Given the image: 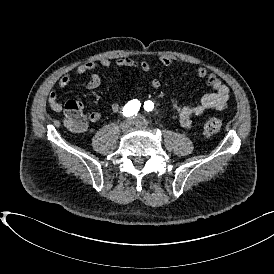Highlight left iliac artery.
Returning a JSON list of instances; mask_svg holds the SVG:
<instances>
[{"label":"left iliac artery","mask_w":274,"mask_h":274,"mask_svg":"<svg viewBox=\"0 0 274 274\" xmlns=\"http://www.w3.org/2000/svg\"><path fill=\"white\" fill-rule=\"evenodd\" d=\"M154 108V104L152 101L148 100L144 103V109L148 112L152 111Z\"/></svg>","instance_id":"obj_1"}]
</instances>
